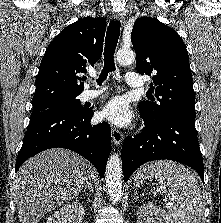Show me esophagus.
<instances>
[{
    "instance_id": "1",
    "label": "esophagus",
    "mask_w": 221,
    "mask_h": 223,
    "mask_svg": "<svg viewBox=\"0 0 221 223\" xmlns=\"http://www.w3.org/2000/svg\"><path fill=\"white\" fill-rule=\"evenodd\" d=\"M114 18L121 23L125 22V14L123 12H115ZM111 133L114 144L116 146L120 145L124 139V135L115 127H112Z\"/></svg>"
}]
</instances>
